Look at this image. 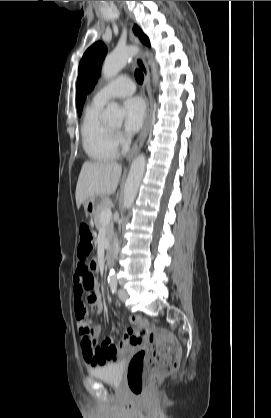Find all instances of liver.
<instances>
[{"label":"liver","instance_id":"liver-1","mask_svg":"<svg viewBox=\"0 0 271 418\" xmlns=\"http://www.w3.org/2000/svg\"><path fill=\"white\" fill-rule=\"evenodd\" d=\"M121 174L122 166L115 162H84L76 186L77 208L90 197L113 194Z\"/></svg>","mask_w":271,"mask_h":418}]
</instances>
